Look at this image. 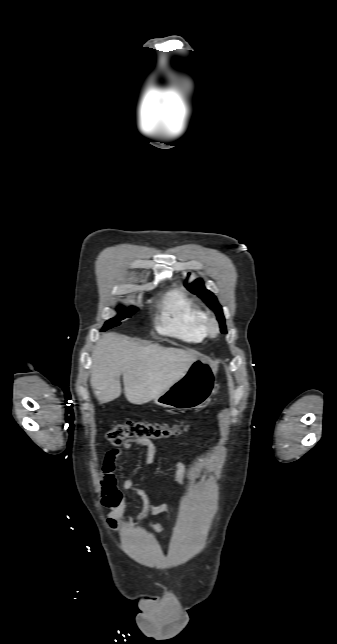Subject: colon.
Returning <instances> with one entry per match:
<instances>
[{
	"label": "colon",
	"mask_w": 337,
	"mask_h": 644,
	"mask_svg": "<svg viewBox=\"0 0 337 644\" xmlns=\"http://www.w3.org/2000/svg\"><path fill=\"white\" fill-rule=\"evenodd\" d=\"M187 429L185 422L176 424L146 423L128 420L115 425L107 433V439L112 445H120L130 438L159 440L175 436Z\"/></svg>",
	"instance_id": "obj_1"
}]
</instances>
